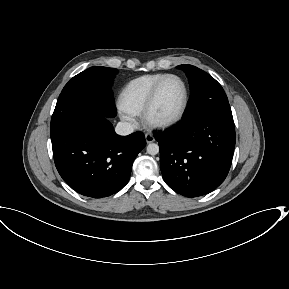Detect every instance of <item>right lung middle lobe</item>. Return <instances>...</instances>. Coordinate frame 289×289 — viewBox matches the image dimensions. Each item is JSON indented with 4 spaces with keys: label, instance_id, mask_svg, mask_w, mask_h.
Segmentation results:
<instances>
[{
    "label": "right lung middle lobe",
    "instance_id": "right-lung-middle-lobe-1",
    "mask_svg": "<svg viewBox=\"0 0 289 289\" xmlns=\"http://www.w3.org/2000/svg\"><path fill=\"white\" fill-rule=\"evenodd\" d=\"M115 68L91 67L74 76L63 88L51 118V137L74 125L88 112L115 117L110 87Z\"/></svg>",
    "mask_w": 289,
    "mask_h": 289
}]
</instances>
